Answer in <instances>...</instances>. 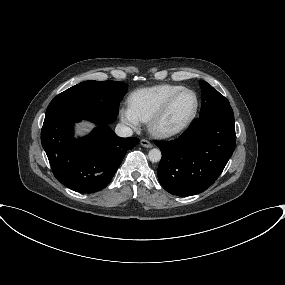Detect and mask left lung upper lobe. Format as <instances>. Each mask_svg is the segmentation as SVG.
I'll return each instance as SVG.
<instances>
[{
    "label": "left lung upper lobe",
    "mask_w": 285,
    "mask_h": 285,
    "mask_svg": "<svg viewBox=\"0 0 285 285\" xmlns=\"http://www.w3.org/2000/svg\"><path fill=\"white\" fill-rule=\"evenodd\" d=\"M200 86L202 90L200 117L219 112L233 114L228 100L217 90L205 81H200Z\"/></svg>",
    "instance_id": "5c2ea615"
}]
</instances>
